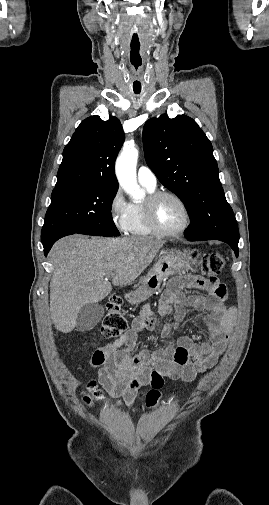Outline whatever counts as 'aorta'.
<instances>
[{"label":"aorta","instance_id":"1","mask_svg":"<svg viewBox=\"0 0 269 505\" xmlns=\"http://www.w3.org/2000/svg\"><path fill=\"white\" fill-rule=\"evenodd\" d=\"M138 150L134 145H125L116 160L115 172L120 186L134 200H142L145 191L137 183L136 165Z\"/></svg>","mask_w":269,"mask_h":505}]
</instances>
